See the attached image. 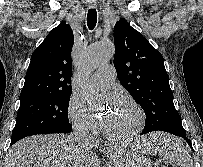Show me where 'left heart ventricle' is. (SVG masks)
<instances>
[{
    "label": "left heart ventricle",
    "instance_id": "1",
    "mask_svg": "<svg viewBox=\"0 0 203 167\" xmlns=\"http://www.w3.org/2000/svg\"><path fill=\"white\" fill-rule=\"evenodd\" d=\"M101 121L105 128L116 135H125L137 125V114L124 102H120L110 111L103 113Z\"/></svg>",
    "mask_w": 203,
    "mask_h": 167
}]
</instances>
